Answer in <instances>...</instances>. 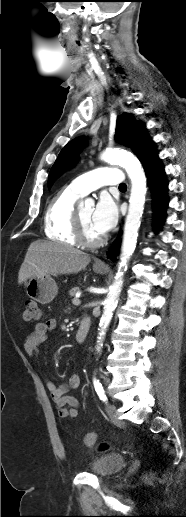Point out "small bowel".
Here are the masks:
<instances>
[{
	"instance_id": "obj_1",
	"label": "small bowel",
	"mask_w": 186,
	"mask_h": 517,
	"mask_svg": "<svg viewBox=\"0 0 186 517\" xmlns=\"http://www.w3.org/2000/svg\"><path fill=\"white\" fill-rule=\"evenodd\" d=\"M56 326L57 323L55 319H48L35 324L33 331L27 336L24 342V351L29 358L35 359L37 357V347L46 339L48 332L56 329ZM80 382V377L77 374H73L67 382L61 384H56L49 379L46 380V387L50 392L60 417L74 418L78 415L79 402L75 397L67 395V392L71 389L78 388ZM95 439L96 434L94 433V441Z\"/></svg>"
}]
</instances>
